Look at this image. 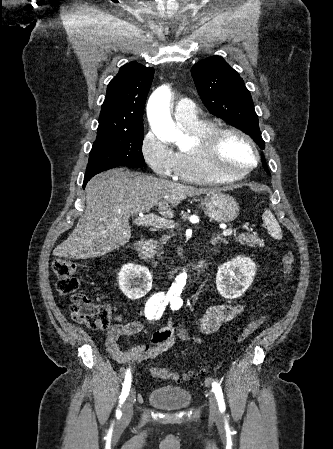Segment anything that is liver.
Segmentation results:
<instances>
[{
  "label": "liver",
  "instance_id": "6515ba94",
  "mask_svg": "<svg viewBox=\"0 0 333 449\" xmlns=\"http://www.w3.org/2000/svg\"><path fill=\"white\" fill-rule=\"evenodd\" d=\"M212 189L172 183L122 168L93 177L86 186V210L70 236L54 254L87 259L102 256L125 245L131 237L129 218L153 207L165 218L187 197L210 194Z\"/></svg>",
  "mask_w": 333,
  "mask_h": 449
}]
</instances>
